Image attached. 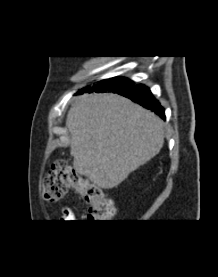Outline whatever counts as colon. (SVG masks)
Here are the masks:
<instances>
[{
    "label": "colon",
    "instance_id": "colon-1",
    "mask_svg": "<svg viewBox=\"0 0 218 277\" xmlns=\"http://www.w3.org/2000/svg\"><path fill=\"white\" fill-rule=\"evenodd\" d=\"M73 188L88 205L89 222H109L116 215L114 201L103 190L80 175L67 161L53 163L43 179V196L48 202L61 200L67 189Z\"/></svg>",
    "mask_w": 218,
    "mask_h": 277
}]
</instances>
